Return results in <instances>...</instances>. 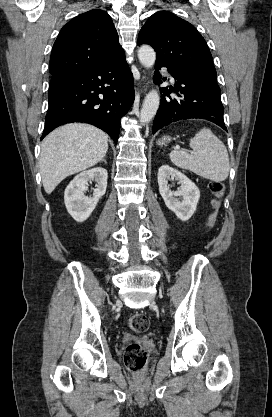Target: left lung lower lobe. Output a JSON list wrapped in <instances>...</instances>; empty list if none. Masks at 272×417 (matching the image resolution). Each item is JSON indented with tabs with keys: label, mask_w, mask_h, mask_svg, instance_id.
Returning <instances> with one entry per match:
<instances>
[{
	"label": "left lung lower lobe",
	"mask_w": 272,
	"mask_h": 417,
	"mask_svg": "<svg viewBox=\"0 0 272 417\" xmlns=\"http://www.w3.org/2000/svg\"><path fill=\"white\" fill-rule=\"evenodd\" d=\"M162 66L165 65L155 64L154 82L156 84L161 82L158 70ZM167 68L175 79V84L174 87L161 88L166 97L161 98L160 107L154 119L153 133L170 123L191 118L209 120L227 131L223 120L224 108L221 103L220 88L179 69ZM171 92L177 93L178 98H172L169 95Z\"/></svg>",
	"instance_id": "0a47b994"
}]
</instances>
